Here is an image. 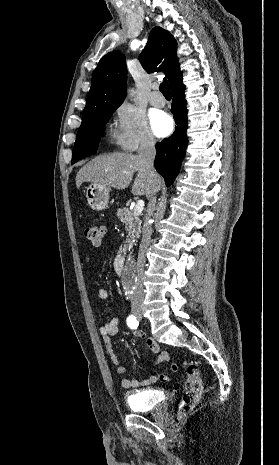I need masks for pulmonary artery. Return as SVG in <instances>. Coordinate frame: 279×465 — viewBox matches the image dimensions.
<instances>
[{
    "label": "pulmonary artery",
    "instance_id": "e3ab8cb5",
    "mask_svg": "<svg viewBox=\"0 0 279 465\" xmlns=\"http://www.w3.org/2000/svg\"><path fill=\"white\" fill-rule=\"evenodd\" d=\"M149 102L154 107H163L166 103L165 98L155 88L149 96Z\"/></svg>",
    "mask_w": 279,
    "mask_h": 465
}]
</instances>
